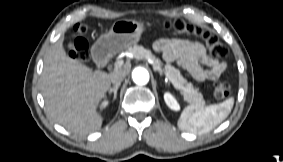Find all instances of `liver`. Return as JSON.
I'll return each mask as SVG.
<instances>
[{
	"instance_id": "1",
	"label": "liver",
	"mask_w": 283,
	"mask_h": 162,
	"mask_svg": "<svg viewBox=\"0 0 283 162\" xmlns=\"http://www.w3.org/2000/svg\"><path fill=\"white\" fill-rule=\"evenodd\" d=\"M131 64L110 74L96 70L66 55L62 40L57 41L44 59L41 90L51 119L76 134L99 130L103 123L97 106L106 97L112 74H128Z\"/></svg>"
}]
</instances>
